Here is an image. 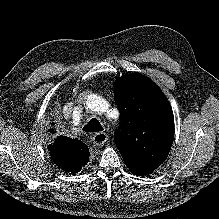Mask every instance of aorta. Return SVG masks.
<instances>
[{
    "label": "aorta",
    "mask_w": 219,
    "mask_h": 219,
    "mask_svg": "<svg viewBox=\"0 0 219 219\" xmlns=\"http://www.w3.org/2000/svg\"><path fill=\"white\" fill-rule=\"evenodd\" d=\"M85 105L90 111L100 114L104 112L107 102L97 94H89L86 97Z\"/></svg>",
    "instance_id": "obj_1"
}]
</instances>
